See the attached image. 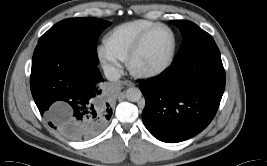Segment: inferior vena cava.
I'll list each match as a JSON object with an SVG mask.
<instances>
[{"label":"inferior vena cava","instance_id":"obj_1","mask_svg":"<svg viewBox=\"0 0 267 166\" xmlns=\"http://www.w3.org/2000/svg\"><path fill=\"white\" fill-rule=\"evenodd\" d=\"M103 70H104L105 77L109 81H116L121 77L119 70L113 66L107 65L104 67Z\"/></svg>","mask_w":267,"mask_h":166}]
</instances>
